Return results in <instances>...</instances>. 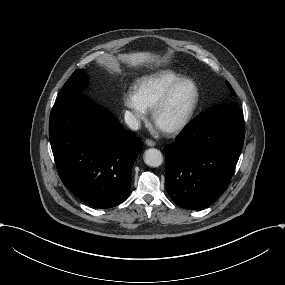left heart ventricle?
I'll return each instance as SVG.
<instances>
[{
  "mask_svg": "<svg viewBox=\"0 0 285 285\" xmlns=\"http://www.w3.org/2000/svg\"><path fill=\"white\" fill-rule=\"evenodd\" d=\"M195 95L196 90L192 83L182 85L174 93L169 104L159 113L157 124L166 129L181 121L192 106Z\"/></svg>",
  "mask_w": 285,
  "mask_h": 285,
  "instance_id": "obj_1",
  "label": "left heart ventricle"
}]
</instances>
